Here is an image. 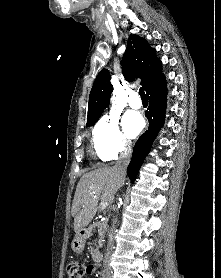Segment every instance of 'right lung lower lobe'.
<instances>
[{
	"instance_id": "right-lung-lower-lobe-1",
	"label": "right lung lower lobe",
	"mask_w": 221,
	"mask_h": 278,
	"mask_svg": "<svg viewBox=\"0 0 221 278\" xmlns=\"http://www.w3.org/2000/svg\"><path fill=\"white\" fill-rule=\"evenodd\" d=\"M145 91L149 98V107L145 112V116L149 120V128L136 142L131 162L127 168V174L132 182L165 121L167 86L164 74L152 82Z\"/></svg>"
}]
</instances>
